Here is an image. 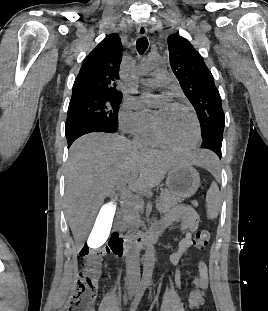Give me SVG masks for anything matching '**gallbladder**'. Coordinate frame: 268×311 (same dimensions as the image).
<instances>
[{
  "label": "gallbladder",
  "instance_id": "1",
  "mask_svg": "<svg viewBox=\"0 0 268 311\" xmlns=\"http://www.w3.org/2000/svg\"><path fill=\"white\" fill-rule=\"evenodd\" d=\"M118 200L111 199L108 202H103L96 219L95 227H92L89 232V246L91 249H98L99 246H104V240L108 239L112 232V221L115 218L116 209L118 208Z\"/></svg>",
  "mask_w": 268,
  "mask_h": 311
}]
</instances>
